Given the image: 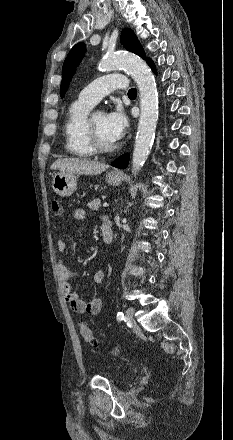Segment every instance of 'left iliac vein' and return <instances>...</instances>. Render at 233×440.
Segmentation results:
<instances>
[{"label": "left iliac vein", "mask_w": 233, "mask_h": 440, "mask_svg": "<svg viewBox=\"0 0 233 440\" xmlns=\"http://www.w3.org/2000/svg\"><path fill=\"white\" fill-rule=\"evenodd\" d=\"M135 310L131 307L126 310V317L129 322H133Z\"/></svg>", "instance_id": "obj_1"}]
</instances>
